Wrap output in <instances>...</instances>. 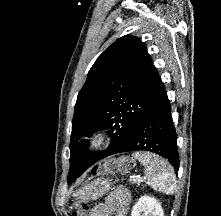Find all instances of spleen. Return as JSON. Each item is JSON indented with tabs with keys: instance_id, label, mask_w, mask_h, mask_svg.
Masks as SVG:
<instances>
[{
	"instance_id": "1",
	"label": "spleen",
	"mask_w": 221,
	"mask_h": 216,
	"mask_svg": "<svg viewBox=\"0 0 221 216\" xmlns=\"http://www.w3.org/2000/svg\"><path fill=\"white\" fill-rule=\"evenodd\" d=\"M134 157L144 166V174L152 189L166 195L174 193L176 190V176L167 161L150 153H135Z\"/></svg>"
}]
</instances>
